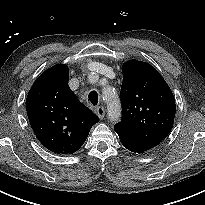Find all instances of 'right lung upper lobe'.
I'll return each instance as SVG.
<instances>
[{
	"mask_svg": "<svg viewBox=\"0 0 205 205\" xmlns=\"http://www.w3.org/2000/svg\"><path fill=\"white\" fill-rule=\"evenodd\" d=\"M69 69L55 65L32 85L26 100L31 127L48 150L73 154L85 142L99 118L84 106L68 86Z\"/></svg>",
	"mask_w": 205,
	"mask_h": 205,
	"instance_id": "obj_1",
	"label": "right lung upper lobe"
}]
</instances>
